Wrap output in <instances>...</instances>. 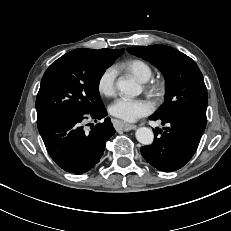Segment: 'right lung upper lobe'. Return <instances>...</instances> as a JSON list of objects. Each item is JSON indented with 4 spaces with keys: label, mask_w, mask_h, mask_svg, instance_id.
Wrapping results in <instances>:
<instances>
[{
    "label": "right lung upper lobe",
    "mask_w": 231,
    "mask_h": 231,
    "mask_svg": "<svg viewBox=\"0 0 231 231\" xmlns=\"http://www.w3.org/2000/svg\"><path fill=\"white\" fill-rule=\"evenodd\" d=\"M97 53L101 54L102 56L106 57L107 59H111L114 60L121 56L124 53V49H120V50H110V49H100V50H95Z\"/></svg>",
    "instance_id": "right-lung-upper-lobe-1"
}]
</instances>
